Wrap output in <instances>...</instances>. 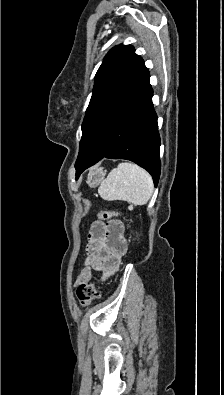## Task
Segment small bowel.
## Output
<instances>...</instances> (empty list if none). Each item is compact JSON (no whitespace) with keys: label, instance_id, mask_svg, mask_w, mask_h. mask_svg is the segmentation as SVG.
<instances>
[{"label":"small bowel","instance_id":"small-bowel-1","mask_svg":"<svg viewBox=\"0 0 224 395\" xmlns=\"http://www.w3.org/2000/svg\"><path fill=\"white\" fill-rule=\"evenodd\" d=\"M111 225L118 226L116 233L111 230ZM123 231V225L118 220L107 224L101 221L92 223L86 246L85 264L77 276V284L87 282L91 277L92 269L108 275L118 268L120 257L127 251V241Z\"/></svg>","mask_w":224,"mask_h":395}]
</instances>
